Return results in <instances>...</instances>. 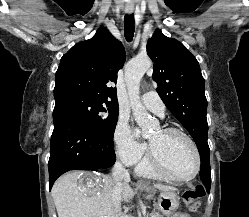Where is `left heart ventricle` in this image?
<instances>
[{"instance_id": "1", "label": "left heart ventricle", "mask_w": 249, "mask_h": 217, "mask_svg": "<svg viewBox=\"0 0 249 217\" xmlns=\"http://www.w3.org/2000/svg\"><path fill=\"white\" fill-rule=\"evenodd\" d=\"M150 144L165 167L175 176L186 177L195 169V155L190 144L180 135L157 130L149 136Z\"/></svg>"}]
</instances>
